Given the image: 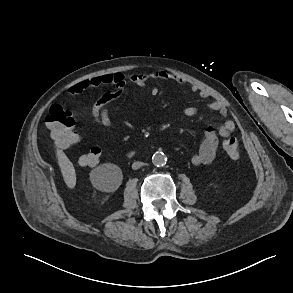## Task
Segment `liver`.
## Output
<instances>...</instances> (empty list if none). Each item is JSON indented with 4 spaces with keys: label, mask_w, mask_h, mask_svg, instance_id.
Instances as JSON below:
<instances>
[{
    "label": "liver",
    "mask_w": 293,
    "mask_h": 293,
    "mask_svg": "<svg viewBox=\"0 0 293 293\" xmlns=\"http://www.w3.org/2000/svg\"><path fill=\"white\" fill-rule=\"evenodd\" d=\"M57 159L66 185L69 188H74L76 185V173L72 162L62 150H57Z\"/></svg>",
    "instance_id": "liver-1"
}]
</instances>
